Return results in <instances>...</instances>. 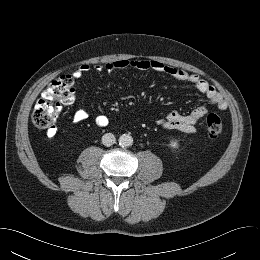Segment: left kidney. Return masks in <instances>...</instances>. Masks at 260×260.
I'll use <instances>...</instances> for the list:
<instances>
[{"label":"left kidney","instance_id":"obj_1","mask_svg":"<svg viewBox=\"0 0 260 260\" xmlns=\"http://www.w3.org/2000/svg\"><path fill=\"white\" fill-rule=\"evenodd\" d=\"M170 146H171L172 148H178V147H179V144H178L177 141L172 140V141L170 142Z\"/></svg>","mask_w":260,"mask_h":260}]
</instances>
